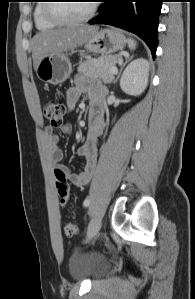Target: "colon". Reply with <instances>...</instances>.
Returning <instances> with one entry per match:
<instances>
[{
	"instance_id": "obj_1",
	"label": "colon",
	"mask_w": 195,
	"mask_h": 299,
	"mask_svg": "<svg viewBox=\"0 0 195 299\" xmlns=\"http://www.w3.org/2000/svg\"><path fill=\"white\" fill-rule=\"evenodd\" d=\"M65 112L66 105L62 101H48L43 107L45 118L55 127L62 125ZM55 176L59 202L62 206H65L69 197L67 178L64 172L59 169L55 170ZM64 230L68 236H72L77 233L78 225L75 222H66Z\"/></svg>"
}]
</instances>
